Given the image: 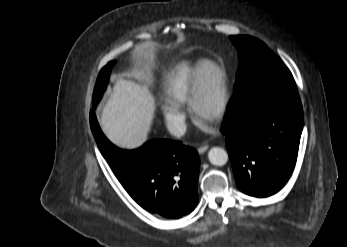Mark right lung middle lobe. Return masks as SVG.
<instances>
[{
    "label": "right lung middle lobe",
    "instance_id": "dd1d6c3e",
    "mask_svg": "<svg viewBox=\"0 0 347 247\" xmlns=\"http://www.w3.org/2000/svg\"><path fill=\"white\" fill-rule=\"evenodd\" d=\"M115 64V61L109 62L99 73L97 78V83L94 91V103L97 104L102 96L103 91L106 89L107 81L109 79V74L111 67Z\"/></svg>",
    "mask_w": 347,
    "mask_h": 247
}]
</instances>
